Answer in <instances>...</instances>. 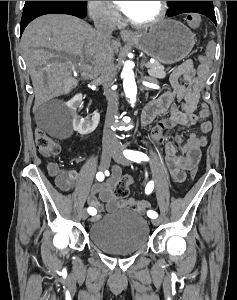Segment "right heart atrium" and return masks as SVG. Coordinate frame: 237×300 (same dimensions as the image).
Wrapping results in <instances>:
<instances>
[{
  "instance_id": "right-heart-atrium-1",
  "label": "right heart atrium",
  "mask_w": 237,
  "mask_h": 300,
  "mask_svg": "<svg viewBox=\"0 0 237 300\" xmlns=\"http://www.w3.org/2000/svg\"><path fill=\"white\" fill-rule=\"evenodd\" d=\"M87 10L91 20L102 26H115L119 21L118 13L107 6L105 1H88Z\"/></svg>"
}]
</instances>
